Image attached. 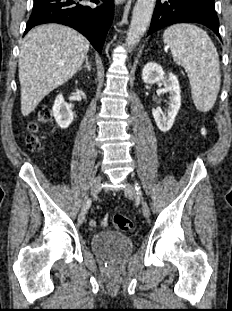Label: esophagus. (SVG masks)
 Segmentation results:
<instances>
[{"label":"esophagus","instance_id":"34e87169","mask_svg":"<svg viewBox=\"0 0 232 311\" xmlns=\"http://www.w3.org/2000/svg\"><path fill=\"white\" fill-rule=\"evenodd\" d=\"M124 2H125V0H115V4L116 5L122 4Z\"/></svg>","mask_w":232,"mask_h":311}]
</instances>
